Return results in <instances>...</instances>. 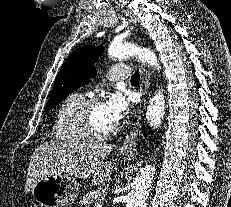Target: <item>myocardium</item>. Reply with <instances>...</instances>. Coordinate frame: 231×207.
<instances>
[{
    "label": "myocardium",
    "mask_w": 231,
    "mask_h": 207,
    "mask_svg": "<svg viewBox=\"0 0 231 207\" xmlns=\"http://www.w3.org/2000/svg\"><path fill=\"white\" fill-rule=\"evenodd\" d=\"M98 103H101V98L98 95H89L80 101L73 115L75 125L79 132L84 138L90 140L108 139L114 136L119 130L117 124L112 129L105 132H98L91 126L89 114L93 106Z\"/></svg>",
    "instance_id": "1"
}]
</instances>
